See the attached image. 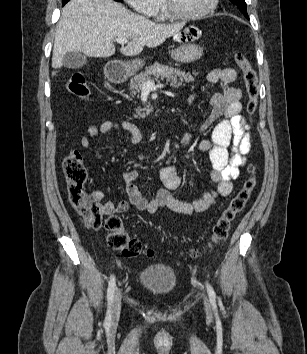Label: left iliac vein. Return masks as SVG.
<instances>
[{"mask_svg":"<svg viewBox=\"0 0 307 354\" xmlns=\"http://www.w3.org/2000/svg\"><path fill=\"white\" fill-rule=\"evenodd\" d=\"M204 304H205V308H206L207 312H209L210 311V306H209V302H208L206 297H204Z\"/></svg>","mask_w":307,"mask_h":354,"instance_id":"obj_1","label":"left iliac vein"}]
</instances>
